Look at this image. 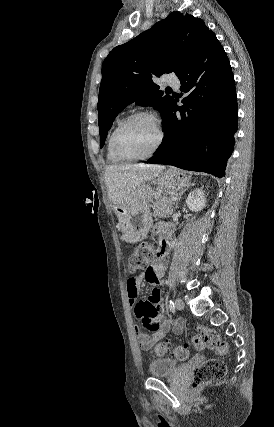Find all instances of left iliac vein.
I'll return each instance as SVG.
<instances>
[{
	"mask_svg": "<svg viewBox=\"0 0 274 427\" xmlns=\"http://www.w3.org/2000/svg\"><path fill=\"white\" fill-rule=\"evenodd\" d=\"M175 307L178 310H182L184 308V302L180 298H176Z\"/></svg>",
	"mask_w": 274,
	"mask_h": 427,
	"instance_id": "1",
	"label": "left iliac vein"
}]
</instances>
